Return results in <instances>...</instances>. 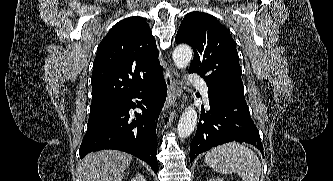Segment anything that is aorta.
<instances>
[{"instance_id": "obj_1", "label": "aorta", "mask_w": 333, "mask_h": 181, "mask_svg": "<svg viewBox=\"0 0 333 181\" xmlns=\"http://www.w3.org/2000/svg\"><path fill=\"white\" fill-rule=\"evenodd\" d=\"M193 52L188 45H179L173 51V61L178 69H185L191 62ZM197 124V111L194 107L187 108L181 115L177 126L180 138L188 137Z\"/></svg>"}]
</instances>
